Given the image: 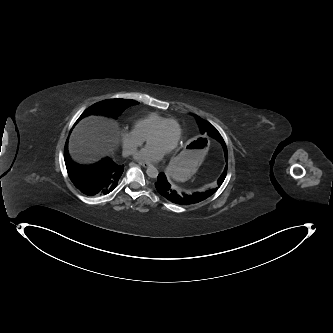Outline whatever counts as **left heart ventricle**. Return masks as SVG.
I'll return each instance as SVG.
<instances>
[{"label":"left heart ventricle","instance_id":"obj_1","mask_svg":"<svg viewBox=\"0 0 333 333\" xmlns=\"http://www.w3.org/2000/svg\"><path fill=\"white\" fill-rule=\"evenodd\" d=\"M178 135V130L175 124H168L161 133L154 136L150 143L157 145L162 149L168 150L172 144L176 141Z\"/></svg>","mask_w":333,"mask_h":333}]
</instances>
